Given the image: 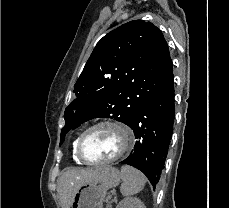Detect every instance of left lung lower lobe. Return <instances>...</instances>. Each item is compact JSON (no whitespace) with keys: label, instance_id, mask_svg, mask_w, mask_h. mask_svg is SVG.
<instances>
[{"label":"left lung lower lobe","instance_id":"0a47b994","mask_svg":"<svg viewBox=\"0 0 229 208\" xmlns=\"http://www.w3.org/2000/svg\"><path fill=\"white\" fill-rule=\"evenodd\" d=\"M174 96L173 81L152 97L129 125L137 141L133 152L121 163L142 171L153 186L160 179L173 132Z\"/></svg>","mask_w":229,"mask_h":208}]
</instances>
